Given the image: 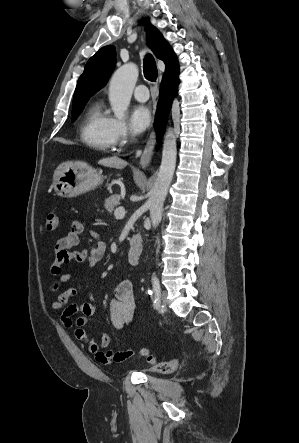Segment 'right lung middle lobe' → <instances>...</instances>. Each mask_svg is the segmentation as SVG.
<instances>
[{"label":"right lung middle lobe","instance_id":"dd1d6c3e","mask_svg":"<svg viewBox=\"0 0 299 443\" xmlns=\"http://www.w3.org/2000/svg\"><path fill=\"white\" fill-rule=\"evenodd\" d=\"M87 102H84V103H82V104H79V105H76V106H73V108H72V116H73V121L77 118V116H78V114L82 111V109H83V107H84V105L86 104Z\"/></svg>","mask_w":299,"mask_h":443}]
</instances>
